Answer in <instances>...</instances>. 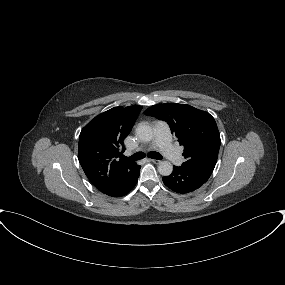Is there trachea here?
Wrapping results in <instances>:
<instances>
[{
    "label": "trachea",
    "instance_id": "1",
    "mask_svg": "<svg viewBox=\"0 0 285 285\" xmlns=\"http://www.w3.org/2000/svg\"><path fill=\"white\" fill-rule=\"evenodd\" d=\"M144 157H145V154H144V153H142V152H137V153L133 154V155L130 156V157H123V159H124V161H137V160H140V159H142V158H144ZM148 157H149V158H152V159H157V160H160V159L163 158L162 155H160V154L157 153V152H150V153L148 154Z\"/></svg>",
    "mask_w": 285,
    "mask_h": 285
}]
</instances>
